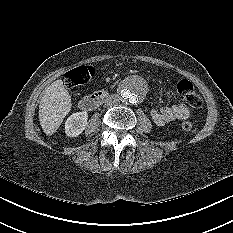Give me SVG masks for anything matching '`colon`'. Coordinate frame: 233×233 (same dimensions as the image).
I'll list each match as a JSON object with an SVG mask.
<instances>
[{
	"mask_svg": "<svg viewBox=\"0 0 233 233\" xmlns=\"http://www.w3.org/2000/svg\"><path fill=\"white\" fill-rule=\"evenodd\" d=\"M95 70L91 66H79L65 75V83L68 88H75L84 85L94 76ZM177 93L193 108L202 106V98L194 89L192 83L186 79L180 80L176 85ZM194 124L191 120L183 121L182 128L185 131H191Z\"/></svg>",
	"mask_w": 233,
	"mask_h": 233,
	"instance_id": "colon-1",
	"label": "colon"
}]
</instances>
